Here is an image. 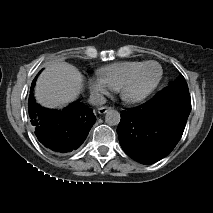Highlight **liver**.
<instances>
[{"label":"liver","instance_id":"6515ba94","mask_svg":"<svg viewBox=\"0 0 213 213\" xmlns=\"http://www.w3.org/2000/svg\"><path fill=\"white\" fill-rule=\"evenodd\" d=\"M83 87L81 73L67 62L49 64L39 75L35 98L47 108H63L74 101Z\"/></svg>","mask_w":213,"mask_h":213}]
</instances>
